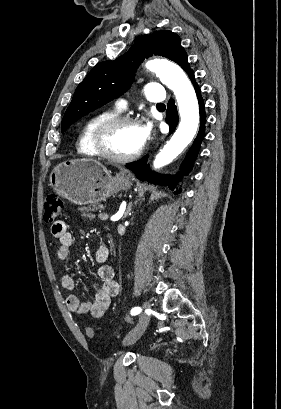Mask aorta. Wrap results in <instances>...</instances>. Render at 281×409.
I'll return each mask as SVG.
<instances>
[{
    "label": "aorta",
    "mask_w": 281,
    "mask_h": 409,
    "mask_svg": "<svg viewBox=\"0 0 281 409\" xmlns=\"http://www.w3.org/2000/svg\"><path fill=\"white\" fill-rule=\"evenodd\" d=\"M146 68L174 92L181 118L177 130L155 157L153 165L158 169L171 163L193 140L199 124V105L190 80L179 66L153 59L146 63Z\"/></svg>",
    "instance_id": "1"
}]
</instances>
